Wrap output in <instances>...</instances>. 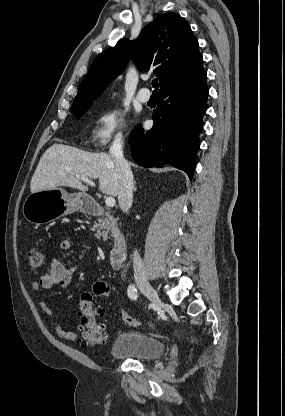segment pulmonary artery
Instances as JSON below:
<instances>
[{
	"label": "pulmonary artery",
	"mask_w": 285,
	"mask_h": 416,
	"mask_svg": "<svg viewBox=\"0 0 285 416\" xmlns=\"http://www.w3.org/2000/svg\"><path fill=\"white\" fill-rule=\"evenodd\" d=\"M137 98L143 103L148 102L150 99L149 89L147 87H140L138 89Z\"/></svg>",
	"instance_id": "pulmonary-artery-1"
}]
</instances>
